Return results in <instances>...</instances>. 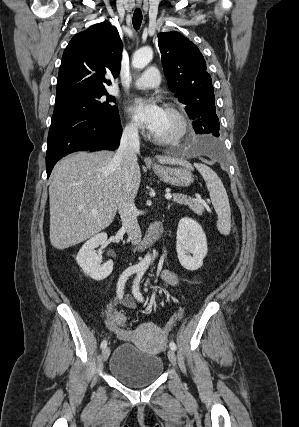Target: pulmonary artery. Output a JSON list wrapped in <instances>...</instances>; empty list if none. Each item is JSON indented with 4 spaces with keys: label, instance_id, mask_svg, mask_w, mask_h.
I'll return each mask as SVG.
<instances>
[{
    "label": "pulmonary artery",
    "instance_id": "1",
    "mask_svg": "<svg viewBox=\"0 0 299 427\" xmlns=\"http://www.w3.org/2000/svg\"><path fill=\"white\" fill-rule=\"evenodd\" d=\"M160 74L157 68L148 67L144 74L136 79L133 86L138 89H151L160 84Z\"/></svg>",
    "mask_w": 299,
    "mask_h": 427
}]
</instances>
